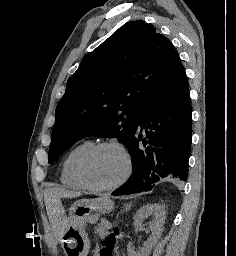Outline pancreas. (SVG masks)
<instances>
[{
    "instance_id": "obj_1",
    "label": "pancreas",
    "mask_w": 236,
    "mask_h": 256,
    "mask_svg": "<svg viewBox=\"0 0 236 256\" xmlns=\"http://www.w3.org/2000/svg\"><path fill=\"white\" fill-rule=\"evenodd\" d=\"M95 230V234H98L99 238H105L108 234V230H111V228L110 226H106V224H97Z\"/></svg>"
}]
</instances>
